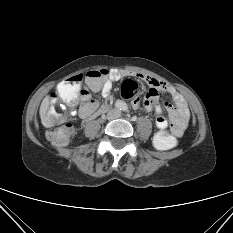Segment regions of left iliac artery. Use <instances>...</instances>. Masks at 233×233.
<instances>
[{"mask_svg": "<svg viewBox=\"0 0 233 233\" xmlns=\"http://www.w3.org/2000/svg\"><path fill=\"white\" fill-rule=\"evenodd\" d=\"M122 109H123V111H127V110H128L127 105H126V104H124V105L122 106Z\"/></svg>", "mask_w": 233, "mask_h": 233, "instance_id": "1", "label": "left iliac artery"}]
</instances>
